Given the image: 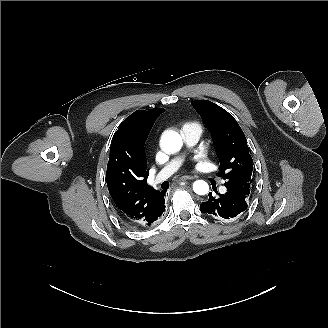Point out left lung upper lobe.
<instances>
[{"label": "left lung upper lobe", "mask_w": 328, "mask_h": 328, "mask_svg": "<svg viewBox=\"0 0 328 328\" xmlns=\"http://www.w3.org/2000/svg\"><path fill=\"white\" fill-rule=\"evenodd\" d=\"M192 105L212 132L220 161L218 175L226 180L227 192L245 200L250 193L253 160L241 127L230 113L211 101L196 100Z\"/></svg>", "instance_id": "obj_1"}]
</instances>
